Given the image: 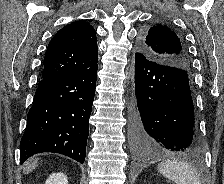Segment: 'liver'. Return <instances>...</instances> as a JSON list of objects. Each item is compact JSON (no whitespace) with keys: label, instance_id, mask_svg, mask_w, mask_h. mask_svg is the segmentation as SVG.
I'll return each mask as SVG.
<instances>
[{"label":"liver","instance_id":"6515ba94","mask_svg":"<svg viewBox=\"0 0 224 184\" xmlns=\"http://www.w3.org/2000/svg\"><path fill=\"white\" fill-rule=\"evenodd\" d=\"M37 164H38V160L37 159H30V160H28L24 164V166H23V172L25 174L30 173L31 171H33L37 167Z\"/></svg>","mask_w":224,"mask_h":184}]
</instances>
